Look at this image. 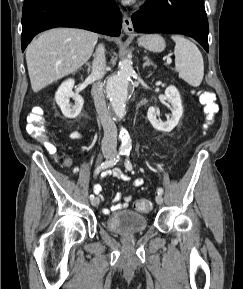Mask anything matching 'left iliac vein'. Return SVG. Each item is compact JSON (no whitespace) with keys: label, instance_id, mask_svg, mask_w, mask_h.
Listing matches in <instances>:
<instances>
[{"label":"left iliac vein","instance_id":"4c4485c4","mask_svg":"<svg viewBox=\"0 0 243 289\" xmlns=\"http://www.w3.org/2000/svg\"><path fill=\"white\" fill-rule=\"evenodd\" d=\"M155 200L157 204L161 205L163 203V197L161 194L156 195Z\"/></svg>","mask_w":243,"mask_h":289}]
</instances>
